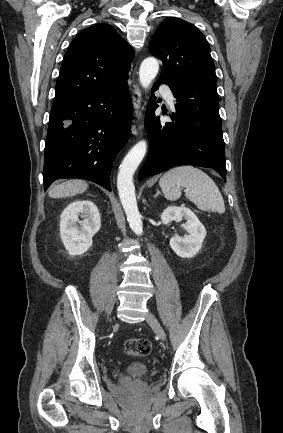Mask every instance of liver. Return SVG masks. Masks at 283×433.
<instances>
[{
	"instance_id": "6515ba94",
	"label": "liver",
	"mask_w": 283,
	"mask_h": 433,
	"mask_svg": "<svg viewBox=\"0 0 283 433\" xmlns=\"http://www.w3.org/2000/svg\"><path fill=\"white\" fill-rule=\"evenodd\" d=\"M86 188H88V184L85 180H66V182L51 188L48 194L51 198H62V196H74L79 192H85Z\"/></svg>"
}]
</instances>
